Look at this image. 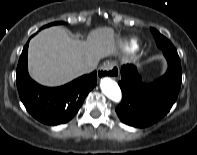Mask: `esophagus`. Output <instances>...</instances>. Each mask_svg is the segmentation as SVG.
<instances>
[{
	"instance_id": "obj_1",
	"label": "esophagus",
	"mask_w": 197,
	"mask_h": 155,
	"mask_svg": "<svg viewBox=\"0 0 197 155\" xmlns=\"http://www.w3.org/2000/svg\"><path fill=\"white\" fill-rule=\"evenodd\" d=\"M97 74L99 77L117 79L119 77V67L113 62H105L100 66Z\"/></svg>"
}]
</instances>
